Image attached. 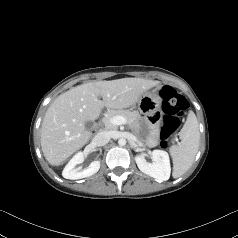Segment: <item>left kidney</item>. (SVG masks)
Wrapping results in <instances>:
<instances>
[{
	"instance_id": "5707ae66",
	"label": "left kidney",
	"mask_w": 238,
	"mask_h": 238,
	"mask_svg": "<svg viewBox=\"0 0 238 238\" xmlns=\"http://www.w3.org/2000/svg\"><path fill=\"white\" fill-rule=\"evenodd\" d=\"M151 158L153 162L149 163L146 161L144 155L135 157L140 171L160 181L168 180L171 173L168 153L163 150H153Z\"/></svg>"
}]
</instances>
